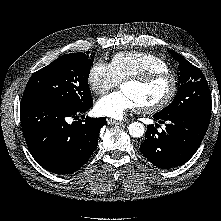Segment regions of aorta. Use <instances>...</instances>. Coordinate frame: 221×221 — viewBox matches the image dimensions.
Listing matches in <instances>:
<instances>
[{
    "mask_svg": "<svg viewBox=\"0 0 221 221\" xmlns=\"http://www.w3.org/2000/svg\"><path fill=\"white\" fill-rule=\"evenodd\" d=\"M128 130H129V134L132 137H142L145 129L142 123L139 122H132L129 126H128Z\"/></svg>",
    "mask_w": 221,
    "mask_h": 221,
    "instance_id": "1",
    "label": "aorta"
}]
</instances>
